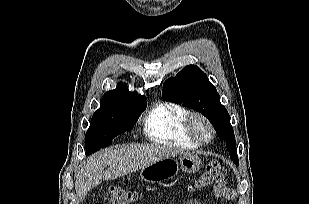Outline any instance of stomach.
Instances as JSON below:
<instances>
[{
    "mask_svg": "<svg viewBox=\"0 0 309 204\" xmlns=\"http://www.w3.org/2000/svg\"><path fill=\"white\" fill-rule=\"evenodd\" d=\"M202 165L200 157L190 153L169 156L141 169L140 177L147 183H158L172 178L182 169L186 173L197 172Z\"/></svg>",
    "mask_w": 309,
    "mask_h": 204,
    "instance_id": "1",
    "label": "stomach"
}]
</instances>
